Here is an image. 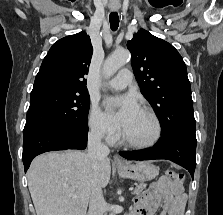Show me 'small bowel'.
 <instances>
[{
    "mask_svg": "<svg viewBox=\"0 0 223 215\" xmlns=\"http://www.w3.org/2000/svg\"><path fill=\"white\" fill-rule=\"evenodd\" d=\"M181 191L180 184L162 177L145 194L137 198L131 215H153L160 206H162L160 215H183L186 198Z\"/></svg>",
    "mask_w": 223,
    "mask_h": 215,
    "instance_id": "1",
    "label": "small bowel"
}]
</instances>
